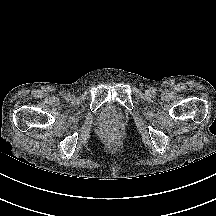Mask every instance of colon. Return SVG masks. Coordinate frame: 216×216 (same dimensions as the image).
<instances>
[{"label":"colon","mask_w":216,"mask_h":216,"mask_svg":"<svg viewBox=\"0 0 216 216\" xmlns=\"http://www.w3.org/2000/svg\"><path fill=\"white\" fill-rule=\"evenodd\" d=\"M120 140V136L117 133H113L108 137V141L111 144H116Z\"/></svg>","instance_id":"colon-1"}]
</instances>
